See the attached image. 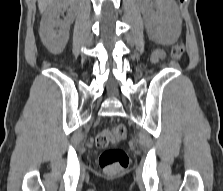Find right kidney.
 Masks as SVG:
<instances>
[{
  "label": "right kidney",
  "mask_w": 223,
  "mask_h": 191,
  "mask_svg": "<svg viewBox=\"0 0 223 191\" xmlns=\"http://www.w3.org/2000/svg\"><path fill=\"white\" fill-rule=\"evenodd\" d=\"M75 4L76 0H55L43 15L40 24V36L43 44L53 53L61 52L68 42ZM68 8H70V12L66 20H59L61 11Z\"/></svg>",
  "instance_id": "1"
}]
</instances>
